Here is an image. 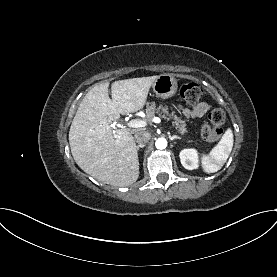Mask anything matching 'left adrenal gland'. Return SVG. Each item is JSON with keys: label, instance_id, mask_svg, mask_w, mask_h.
Listing matches in <instances>:
<instances>
[{"label": "left adrenal gland", "instance_id": "left-adrenal-gland-1", "mask_svg": "<svg viewBox=\"0 0 277 277\" xmlns=\"http://www.w3.org/2000/svg\"><path fill=\"white\" fill-rule=\"evenodd\" d=\"M169 139H170L171 141H173V140H175V139H179V140H180L181 138H180L179 136H176V135H173V136H172V135L169 134Z\"/></svg>", "mask_w": 277, "mask_h": 277}]
</instances>
